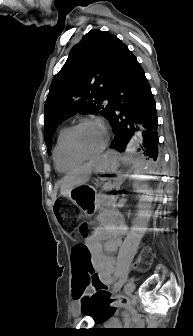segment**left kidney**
<instances>
[{
  "instance_id": "5707ae66",
  "label": "left kidney",
  "mask_w": 193,
  "mask_h": 336,
  "mask_svg": "<svg viewBox=\"0 0 193 336\" xmlns=\"http://www.w3.org/2000/svg\"><path fill=\"white\" fill-rule=\"evenodd\" d=\"M151 201H152L151 196H148V195L140 196L139 204H140V207L142 208L141 216L144 218L149 216V213H150L149 208H150Z\"/></svg>"
}]
</instances>
